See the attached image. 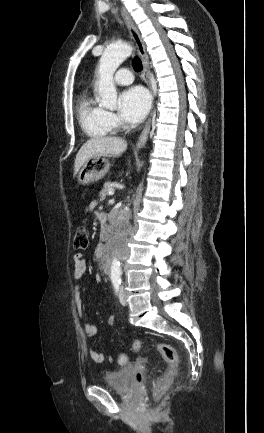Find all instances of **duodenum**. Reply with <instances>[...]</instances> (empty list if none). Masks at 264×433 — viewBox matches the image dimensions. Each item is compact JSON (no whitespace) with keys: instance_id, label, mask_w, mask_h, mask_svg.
I'll return each instance as SVG.
<instances>
[{"instance_id":"1","label":"duodenum","mask_w":264,"mask_h":433,"mask_svg":"<svg viewBox=\"0 0 264 433\" xmlns=\"http://www.w3.org/2000/svg\"><path fill=\"white\" fill-rule=\"evenodd\" d=\"M100 219L102 220L103 223H105L107 218L105 215L100 214ZM109 250H110V246L109 244H107L106 246H102L96 254L97 259L102 260L103 264H105V271L107 273H109L110 271L109 262L107 260L109 257Z\"/></svg>"}]
</instances>
